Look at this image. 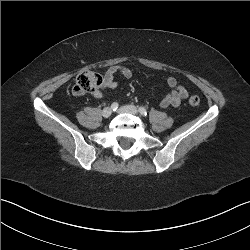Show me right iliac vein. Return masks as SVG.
<instances>
[{"label":"right iliac vein","mask_w":250,"mask_h":250,"mask_svg":"<svg viewBox=\"0 0 250 250\" xmlns=\"http://www.w3.org/2000/svg\"><path fill=\"white\" fill-rule=\"evenodd\" d=\"M111 114H112V109H111L110 107H106V108H104L103 111H102V115H103V117H105V118L110 117Z\"/></svg>","instance_id":"right-iliac-vein-1"}]
</instances>
